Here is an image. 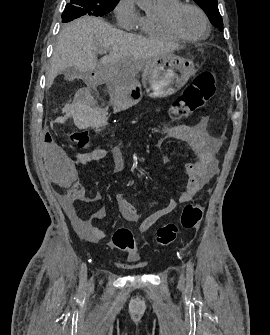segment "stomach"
<instances>
[{
  "mask_svg": "<svg viewBox=\"0 0 270 335\" xmlns=\"http://www.w3.org/2000/svg\"><path fill=\"white\" fill-rule=\"evenodd\" d=\"M196 70L193 60L185 56H155L147 60L142 74V84L121 80L120 94L122 104L131 108L140 102L143 92L142 86L149 98H167L176 94L194 76Z\"/></svg>",
  "mask_w": 270,
  "mask_h": 335,
  "instance_id": "1",
  "label": "stomach"
}]
</instances>
